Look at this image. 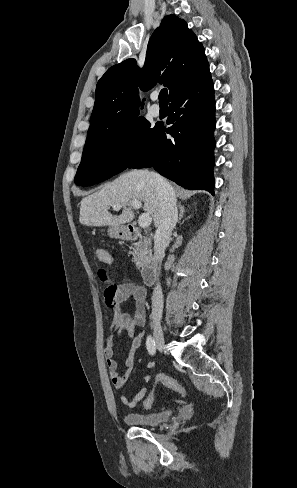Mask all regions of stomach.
Segmentation results:
<instances>
[{
  "label": "stomach",
  "mask_w": 297,
  "mask_h": 488,
  "mask_svg": "<svg viewBox=\"0 0 297 488\" xmlns=\"http://www.w3.org/2000/svg\"><path fill=\"white\" fill-rule=\"evenodd\" d=\"M108 235L111 238L127 239L128 231L125 226H112L108 229Z\"/></svg>",
  "instance_id": "1"
}]
</instances>
